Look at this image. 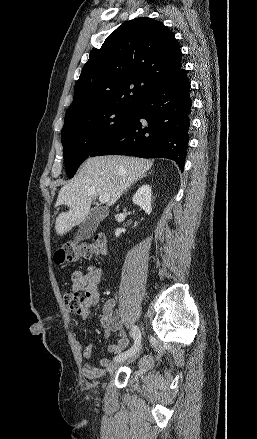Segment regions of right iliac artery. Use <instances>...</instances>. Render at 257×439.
<instances>
[{
  "label": "right iliac artery",
  "instance_id": "right-iliac-artery-1",
  "mask_svg": "<svg viewBox=\"0 0 257 439\" xmlns=\"http://www.w3.org/2000/svg\"><path fill=\"white\" fill-rule=\"evenodd\" d=\"M131 336L133 337V340H134L133 346L129 350H127V351L117 355L114 358V360L127 359L128 357H130L131 355L136 353V351L139 348L140 342H141V332H140L138 326H136V325L132 326V328H131Z\"/></svg>",
  "mask_w": 257,
  "mask_h": 439
}]
</instances>
